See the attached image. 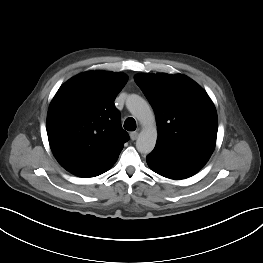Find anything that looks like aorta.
<instances>
[{"label":"aorta","instance_id":"obj_1","mask_svg":"<svg viewBox=\"0 0 263 263\" xmlns=\"http://www.w3.org/2000/svg\"><path fill=\"white\" fill-rule=\"evenodd\" d=\"M126 106L143 126L136 141L137 150L143 154L151 153L156 145L158 135L153 111L148 103L136 94L128 96Z\"/></svg>","mask_w":263,"mask_h":263}]
</instances>
